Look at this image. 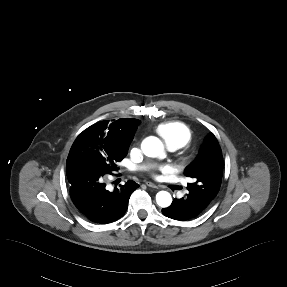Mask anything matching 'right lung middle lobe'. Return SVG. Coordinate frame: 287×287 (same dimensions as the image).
<instances>
[{"label":"right lung middle lobe","instance_id":"dd1d6c3e","mask_svg":"<svg viewBox=\"0 0 287 287\" xmlns=\"http://www.w3.org/2000/svg\"><path fill=\"white\" fill-rule=\"evenodd\" d=\"M127 151L101 144L82 132L70 149L66 171L78 166L90 165L105 172H115L118 170L117 163L127 155Z\"/></svg>","mask_w":287,"mask_h":287}]
</instances>
